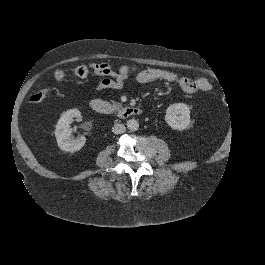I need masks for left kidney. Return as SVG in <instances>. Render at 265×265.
<instances>
[{
    "label": "left kidney",
    "mask_w": 265,
    "mask_h": 265,
    "mask_svg": "<svg viewBox=\"0 0 265 265\" xmlns=\"http://www.w3.org/2000/svg\"><path fill=\"white\" fill-rule=\"evenodd\" d=\"M165 121L172 129L184 130L190 127V109L184 103H175L166 110Z\"/></svg>",
    "instance_id": "left-kidney-1"
}]
</instances>
